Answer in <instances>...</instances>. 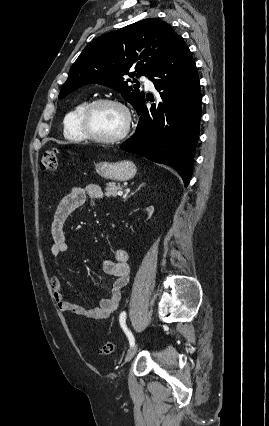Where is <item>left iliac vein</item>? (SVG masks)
Instances as JSON below:
<instances>
[{"label": "left iliac vein", "mask_w": 269, "mask_h": 426, "mask_svg": "<svg viewBox=\"0 0 269 426\" xmlns=\"http://www.w3.org/2000/svg\"><path fill=\"white\" fill-rule=\"evenodd\" d=\"M137 348H138V344H134V346H132L130 348V350L128 351L126 357H125V362H129L132 360V358L134 357V355L137 352Z\"/></svg>", "instance_id": "1"}]
</instances>
